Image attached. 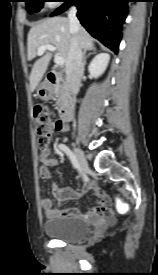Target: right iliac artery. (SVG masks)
<instances>
[{
    "label": "right iliac artery",
    "mask_w": 158,
    "mask_h": 275,
    "mask_svg": "<svg viewBox=\"0 0 158 275\" xmlns=\"http://www.w3.org/2000/svg\"><path fill=\"white\" fill-rule=\"evenodd\" d=\"M59 148L66 153V155L69 157L70 161L72 162L74 168H78L79 167L78 160L76 156L73 154V152L69 149V147L66 146L65 144H60Z\"/></svg>",
    "instance_id": "82829eb1"
}]
</instances>
